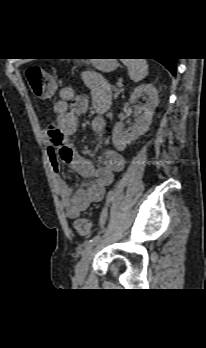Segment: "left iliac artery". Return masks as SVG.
Returning <instances> with one entry per match:
<instances>
[{
    "label": "left iliac artery",
    "instance_id": "obj_1",
    "mask_svg": "<svg viewBox=\"0 0 206 348\" xmlns=\"http://www.w3.org/2000/svg\"><path fill=\"white\" fill-rule=\"evenodd\" d=\"M115 196H116L115 190L113 188H110L109 195H107L106 197V202H111L112 198H114ZM107 217H108L107 209H102L100 224H105ZM99 239H100V233L85 243L86 248L93 246L95 243L99 241Z\"/></svg>",
    "mask_w": 206,
    "mask_h": 348
}]
</instances>
